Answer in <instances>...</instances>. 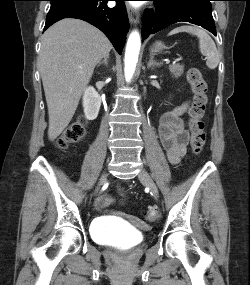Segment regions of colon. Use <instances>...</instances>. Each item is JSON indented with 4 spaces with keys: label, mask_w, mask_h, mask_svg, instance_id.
<instances>
[{
    "label": "colon",
    "mask_w": 250,
    "mask_h": 285,
    "mask_svg": "<svg viewBox=\"0 0 250 285\" xmlns=\"http://www.w3.org/2000/svg\"><path fill=\"white\" fill-rule=\"evenodd\" d=\"M188 82L193 91V101L189 109L190 116V147L193 153L199 154L206 142V133L203 122V116L208 103V85L202 73L191 68L187 73ZM86 135V121L84 118H79L72 123L62 134L58 140L60 148H66L70 144L76 143L83 139ZM158 216V211L155 208H150L145 213V219L148 222H153Z\"/></svg>",
    "instance_id": "1"
}]
</instances>
